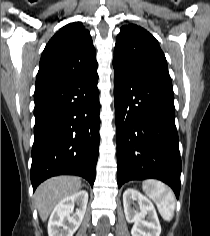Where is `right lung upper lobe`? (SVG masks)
Listing matches in <instances>:
<instances>
[{
  "label": "right lung upper lobe",
  "mask_w": 210,
  "mask_h": 236,
  "mask_svg": "<svg viewBox=\"0 0 210 236\" xmlns=\"http://www.w3.org/2000/svg\"><path fill=\"white\" fill-rule=\"evenodd\" d=\"M96 69V52L89 31L81 22L70 23L46 45L39 64L35 92L49 90Z\"/></svg>",
  "instance_id": "cb5924a9"
}]
</instances>
